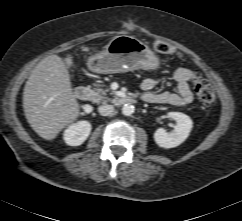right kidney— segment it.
Masks as SVG:
<instances>
[{
	"instance_id": "1",
	"label": "right kidney",
	"mask_w": 242,
	"mask_h": 221,
	"mask_svg": "<svg viewBox=\"0 0 242 221\" xmlns=\"http://www.w3.org/2000/svg\"><path fill=\"white\" fill-rule=\"evenodd\" d=\"M91 132V124L88 121H78L64 131V141L70 146L81 145Z\"/></svg>"
}]
</instances>
